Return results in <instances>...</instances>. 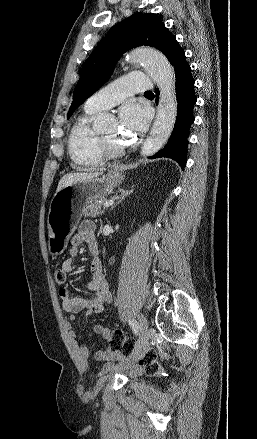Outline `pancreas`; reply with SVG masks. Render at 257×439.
Listing matches in <instances>:
<instances>
[{
    "label": "pancreas",
    "mask_w": 257,
    "mask_h": 439,
    "mask_svg": "<svg viewBox=\"0 0 257 439\" xmlns=\"http://www.w3.org/2000/svg\"><path fill=\"white\" fill-rule=\"evenodd\" d=\"M108 201L105 197H100L95 199L94 201L90 202L82 212V215L85 217H97L102 214H104V209L101 208V206Z\"/></svg>",
    "instance_id": "obj_1"
}]
</instances>
